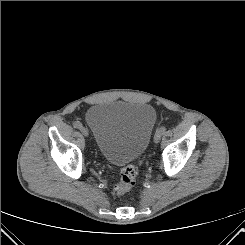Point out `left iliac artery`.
Wrapping results in <instances>:
<instances>
[{
	"mask_svg": "<svg viewBox=\"0 0 245 245\" xmlns=\"http://www.w3.org/2000/svg\"><path fill=\"white\" fill-rule=\"evenodd\" d=\"M165 131H166V127L162 126V127L158 128L156 132L163 134Z\"/></svg>",
	"mask_w": 245,
	"mask_h": 245,
	"instance_id": "left-iliac-artery-1",
	"label": "left iliac artery"
}]
</instances>
